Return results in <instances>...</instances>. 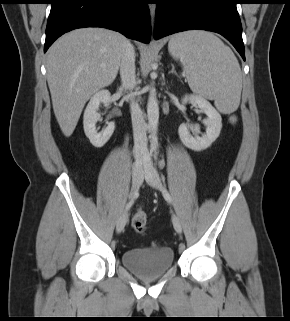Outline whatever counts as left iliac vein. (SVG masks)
<instances>
[{"label": "left iliac vein", "instance_id": "left-iliac-vein-1", "mask_svg": "<svg viewBox=\"0 0 290 321\" xmlns=\"http://www.w3.org/2000/svg\"><path fill=\"white\" fill-rule=\"evenodd\" d=\"M144 177L146 182L155 189L161 188V182L159 175L155 168L152 166L151 162L149 161L144 170ZM172 223L176 232H182V225L179 217L176 214H172Z\"/></svg>", "mask_w": 290, "mask_h": 321}]
</instances>
